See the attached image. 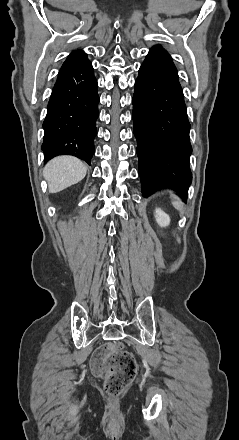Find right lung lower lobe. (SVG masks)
I'll return each instance as SVG.
<instances>
[{
    "label": "right lung lower lobe",
    "instance_id": "1",
    "mask_svg": "<svg viewBox=\"0 0 239 440\" xmlns=\"http://www.w3.org/2000/svg\"><path fill=\"white\" fill-rule=\"evenodd\" d=\"M97 88L90 61L64 62L43 123L45 162L58 155H73L90 165L97 135Z\"/></svg>",
    "mask_w": 239,
    "mask_h": 440
}]
</instances>
